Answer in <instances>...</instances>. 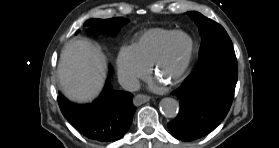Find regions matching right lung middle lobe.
I'll return each instance as SVG.
<instances>
[{"instance_id":"dd1d6c3e","label":"right lung middle lobe","mask_w":279,"mask_h":148,"mask_svg":"<svg viewBox=\"0 0 279 148\" xmlns=\"http://www.w3.org/2000/svg\"><path fill=\"white\" fill-rule=\"evenodd\" d=\"M128 19L116 17L111 19H90L84 23V26H94V33H116ZM79 33V30L76 34Z\"/></svg>"}]
</instances>
